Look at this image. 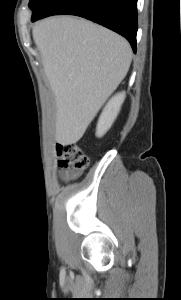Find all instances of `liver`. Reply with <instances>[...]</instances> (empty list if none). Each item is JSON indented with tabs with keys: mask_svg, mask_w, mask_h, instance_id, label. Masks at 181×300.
<instances>
[{
	"mask_svg": "<svg viewBox=\"0 0 181 300\" xmlns=\"http://www.w3.org/2000/svg\"><path fill=\"white\" fill-rule=\"evenodd\" d=\"M33 39L55 96V140L74 144L125 78L131 47L109 29L68 16L40 21Z\"/></svg>",
	"mask_w": 181,
	"mask_h": 300,
	"instance_id": "6515ba94",
	"label": "liver"
}]
</instances>
